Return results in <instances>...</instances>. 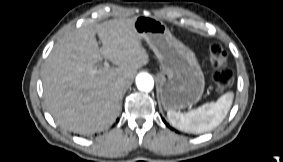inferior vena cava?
I'll list each match as a JSON object with an SVG mask.
<instances>
[{
    "mask_svg": "<svg viewBox=\"0 0 283 162\" xmlns=\"http://www.w3.org/2000/svg\"><path fill=\"white\" fill-rule=\"evenodd\" d=\"M118 83H119V85H121L123 88L126 87V83H125V81H124L123 79H120V80L118 81Z\"/></svg>",
    "mask_w": 283,
    "mask_h": 162,
    "instance_id": "602c4592",
    "label": "inferior vena cava"
}]
</instances>
